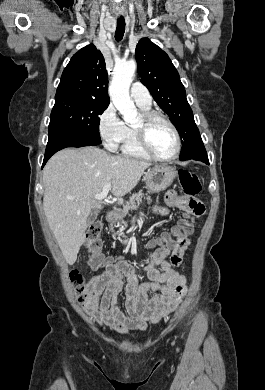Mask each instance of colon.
I'll return each instance as SVG.
<instances>
[{"mask_svg": "<svg viewBox=\"0 0 265 390\" xmlns=\"http://www.w3.org/2000/svg\"><path fill=\"white\" fill-rule=\"evenodd\" d=\"M178 179L185 195L195 197L200 193L201 184L196 174L187 170H180ZM101 230V225L96 223L90 226L86 234V247L89 252L90 264L93 268H99L104 263V257L101 253ZM191 230L192 217L187 216L180 224V231L182 235H187ZM70 277L78 302L83 306L86 305L91 298L89 284L86 283L84 276L78 271H72Z\"/></svg>", "mask_w": 265, "mask_h": 390, "instance_id": "5ec220e1", "label": "colon"}]
</instances>
